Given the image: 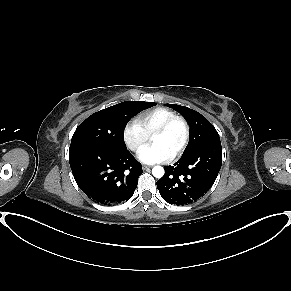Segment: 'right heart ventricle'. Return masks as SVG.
<instances>
[{
  "label": "right heart ventricle",
  "instance_id": "right-heart-ventricle-1",
  "mask_svg": "<svg viewBox=\"0 0 291 291\" xmlns=\"http://www.w3.org/2000/svg\"><path fill=\"white\" fill-rule=\"evenodd\" d=\"M174 116H176L174 111L164 107H157L138 114L136 121L151 135L166 120Z\"/></svg>",
  "mask_w": 291,
  "mask_h": 291
}]
</instances>
